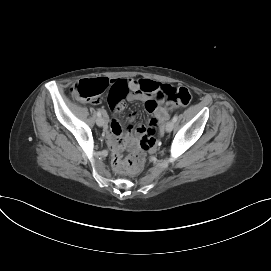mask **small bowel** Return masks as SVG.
<instances>
[{
  "label": "small bowel",
  "mask_w": 271,
  "mask_h": 271,
  "mask_svg": "<svg viewBox=\"0 0 271 271\" xmlns=\"http://www.w3.org/2000/svg\"><path fill=\"white\" fill-rule=\"evenodd\" d=\"M110 82L107 87V99L110 101V106L114 114H119L123 111L125 107L124 99L126 98L129 101L136 100L143 102L146 110L154 115V119L152 120L157 121L156 128L160 122L167 119V109L171 108L172 105L169 103L164 104V100L158 98L154 99L152 97L156 96L166 84H161L149 79H119L111 80ZM144 85L148 86V90L143 89ZM104 114L106 115V113ZM128 120L132 122L134 120V114H131ZM149 127L150 123L148 127L140 125L136 129V133L138 135L146 134ZM104 132L112 146H121L133 140L132 127H130L128 133L123 136L120 123L116 119H111L107 122Z\"/></svg>",
  "instance_id": "obj_1"
}]
</instances>
